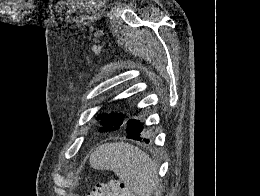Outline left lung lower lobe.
I'll use <instances>...</instances> for the list:
<instances>
[{
  "mask_svg": "<svg viewBox=\"0 0 260 196\" xmlns=\"http://www.w3.org/2000/svg\"><path fill=\"white\" fill-rule=\"evenodd\" d=\"M129 114L124 115H108L102 116V120L104 122H117L126 119L130 116ZM144 125L142 122L138 121H129L126 127V133L128 134L126 137L134 140L144 141L149 143V139L143 137Z\"/></svg>",
  "mask_w": 260,
  "mask_h": 196,
  "instance_id": "left-lung-lower-lobe-1",
  "label": "left lung lower lobe"
}]
</instances>
